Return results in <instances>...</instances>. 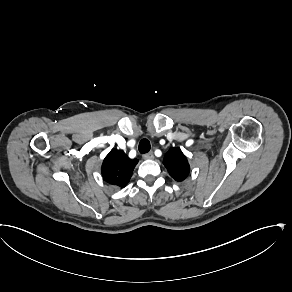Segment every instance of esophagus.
I'll list each match as a JSON object with an SVG mask.
<instances>
[{
	"label": "esophagus",
	"instance_id": "34e87169",
	"mask_svg": "<svg viewBox=\"0 0 292 292\" xmlns=\"http://www.w3.org/2000/svg\"><path fill=\"white\" fill-rule=\"evenodd\" d=\"M143 159H145V160H153L155 157H154V154H153V152L151 151V152H149V153H146V154H144L143 156Z\"/></svg>",
	"mask_w": 292,
	"mask_h": 292
}]
</instances>
